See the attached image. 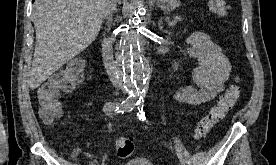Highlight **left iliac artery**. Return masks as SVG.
I'll return each mask as SVG.
<instances>
[{
	"label": "left iliac artery",
	"instance_id": "1",
	"mask_svg": "<svg viewBox=\"0 0 276 165\" xmlns=\"http://www.w3.org/2000/svg\"><path fill=\"white\" fill-rule=\"evenodd\" d=\"M137 116L142 121L146 120L145 113L143 111V104L140 100L137 102Z\"/></svg>",
	"mask_w": 276,
	"mask_h": 165
}]
</instances>
